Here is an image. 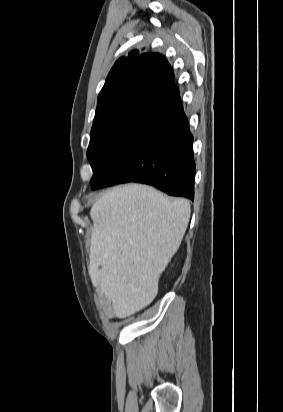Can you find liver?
Segmentation results:
<instances>
[{
  "label": "liver",
  "instance_id": "6515ba94",
  "mask_svg": "<svg viewBox=\"0 0 283 412\" xmlns=\"http://www.w3.org/2000/svg\"><path fill=\"white\" fill-rule=\"evenodd\" d=\"M90 216L89 275L116 316L128 317L155 298L160 275L187 229L190 204L150 186L127 184L98 199Z\"/></svg>",
  "mask_w": 283,
  "mask_h": 412
}]
</instances>
